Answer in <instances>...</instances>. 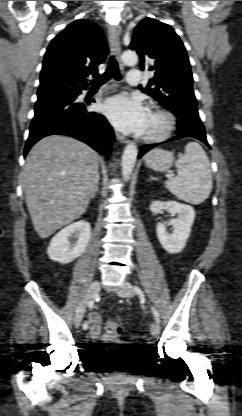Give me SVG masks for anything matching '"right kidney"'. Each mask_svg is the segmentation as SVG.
<instances>
[{"instance_id": "right-kidney-1", "label": "right kidney", "mask_w": 242, "mask_h": 416, "mask_svg": "<svg viewBox=\"0 0 242 416\" xmlns=\"http://www.w3.org/2000/svg\"><path fill=\"white\" fill-rule=\"evenodd\" d=\"M91 237V226L87 221H77L61 231L51 240L47 253L50 259L67 264L84 253ZM76 241L71 243L70 240Z\"/></svg>"}]
</instances>
